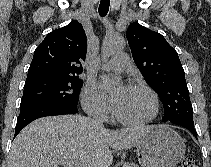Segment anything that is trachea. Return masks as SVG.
Instances as JSON below:
<instances>
[{
	"mask_svg": "<svg viewBox=\"0 0 211 167\" xmlns=\"http://www.w3.org/2000/svg\"><path fill=\"white\" fill-rule=\"evenodd\" d=\"M110 0H101L99 5V15L104 17L109 11Z\"/></svg>",
	"mask_w": 211,
	"mask_h": 167,
	"instance_id": "obj_1",
	"label": "trachea"
}]
</instances>
